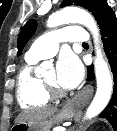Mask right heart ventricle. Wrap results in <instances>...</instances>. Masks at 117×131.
I'll list each match as a JSON object with an SVG mask.
<instances>
[{"mask_svg":"<svg viewBox=\"0 0 117 131\" xmlns=\"http://www.w3.org/2000/svg\"><path fill=\"white\" fill-rule=\"evenodd\" d=\"M39 60L26 58L21 67L16 83L17 98L22 108H39L48 104L50 95L46 91L42 79L34 74V65Z\"/></svg>","mask_w":117,"mask_h":131,"instance_id":"e07e8e85","label":"right heart ventricle"}]
</instances>
